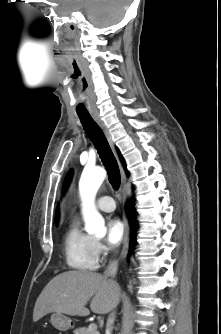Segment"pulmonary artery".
<instances>
[{
    "label": "pulmonary artery",
    "mask_w": 221,
    "mask_h": 334,
    "mask_svg": "<svg viewBox=\"0 0 221 334\" xmlns=\"http://www.w3.org/2000/svg\"><path fill=\"white\" fill-rule=\"evenodd\" d=\"M97 207L104 212H112L116 208V203L111 196L105 195L98 199Z\"/></svg>",
    "instance_id": "e3ab8cb5"
}]
</instances>
